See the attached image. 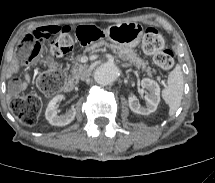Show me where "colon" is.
<instances>
[{"label": "colon", "instance_id": "colon-1", "mask_svg": "<svg viewBox=\"0 0 215 183\" xmlns=\"http://www.w3.org/2000/svg\"><path fill=\"white\" fill-rule=\"evenodd\" d=\"M72 31L63 29L57 32L52 44V53L55 56L68 54L73 47ZM41 41L35 40L32 46H27L24 42L21 48L23 54L31 53L37 55L40 51ZM142 47L145 53L154 56L156 66L161 70H169L174 65V55L171 50L165 49L164 38L161 33L152 27L144 31ZM65 74L60 70H53L41 74L37 80L39 89L46 95H52L64 86ZM10 107L16 118L25 126H33L37 123L41 112L40 99L32 94L18 96L12 99Z\"/></svg>", "mask_w": 215, "mask_h": 183}]
</instances>
